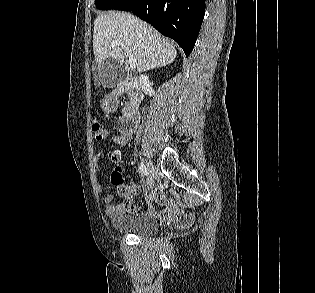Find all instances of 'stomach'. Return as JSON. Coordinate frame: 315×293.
Wrapping results in <instances>:
<instances>
[{
    "label": "stomach",
    "mask_w": 315,
    "mask_h": 293,
    "mask_svg": "<svg viewBox=\"0 0 315 293\" xmlns=\"http://www.w3.org/2000/svg\"><path fill=\"white\" fill-rule=\"evenodd\" d=\"M121 103V96H117L116 92H105L104 96H100V106L106 112L118 110Z\"/></svg>",
    "instance_id": "obj_1"
}]
</instances>
